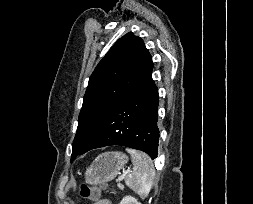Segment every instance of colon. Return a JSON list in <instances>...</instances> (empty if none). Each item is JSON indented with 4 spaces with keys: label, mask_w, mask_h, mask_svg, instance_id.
Instances as JSON below:
<instances>
[{
    "label": "colon",
    "mask_w": 253,
    "mask_h": 204,
    "mask_svg": "<svg viewBox=\"0 0 253 204\" xmlns=\"http://www.w3.org/2000/svg\"><path fill=\"white\" fill-rule=\"evenodd\" d=\"M99 194V186L82 184L79 188L80 198L85 201H95L99 198Z\"/></svg>",
    "instance_id": "5ec220e1"
}]
</instances>
